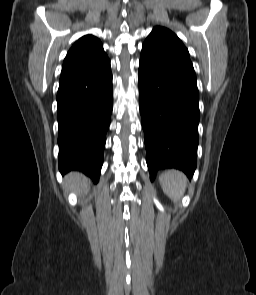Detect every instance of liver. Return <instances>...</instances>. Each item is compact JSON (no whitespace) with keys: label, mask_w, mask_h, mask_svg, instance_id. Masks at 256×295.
I'll list each match as a JSON object with an SVG mask.
<instances>
[{"label":"liver","mask_w":256,"mask_h":295,"mask_svg":"<svg viewBox=\"0 0 256 295\" xmlns=\"http://www.w3.org/2000/svg\"><path fill=\"white\" fill-rule=\"evenodd\" d=\"M65 184L77 191H81L87 187L88 180L82 174L72 172L66 175Z\"/></svg>","instance_id":"1"}]
</instances>
